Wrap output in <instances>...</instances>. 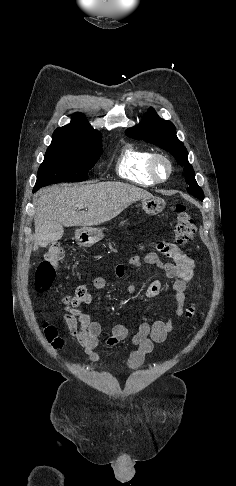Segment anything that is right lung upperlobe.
Returning <instances> with one entry per match:
<instances>
[{"mask_svg": "<svg viewBox=\"0 0 236 486\" xmlns=\"http://www.w3.org/2000/svg\"><path fill=\"white\" fill-rule=\"evenodd\" d=\"M53 137L70 138L90 143L101 142V133L94 130L81 113H74L71 123L57 128Z\"/></svg>", "mask_w": 236, "mask_h": 486, "instance_id": "1", "label": "right lung upper lobe"}]
</instances>
